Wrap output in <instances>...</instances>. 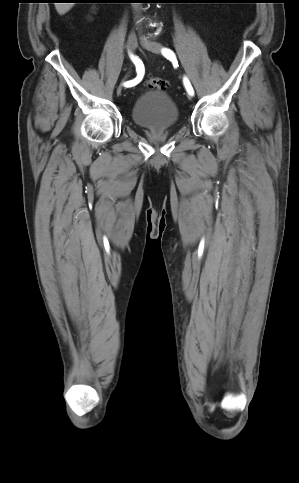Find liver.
Wrapping results in <instances>:
<instances>
[{
  "label": "liver",
  "instance_id": "liver-1",
  "mask_svg": "<svg viewBox=\"0 0 299 483\" xmlns=\"http://www.w3.org/2000/svg\"><path fill=\"white\" fill-rule=\"evenodd\" d=\"M73 4L74 3H55V8L60 15H63L73 7Z\"/></svg>",
  "mask_w": 299,
  "mask_h": 483
}]
</instances>
